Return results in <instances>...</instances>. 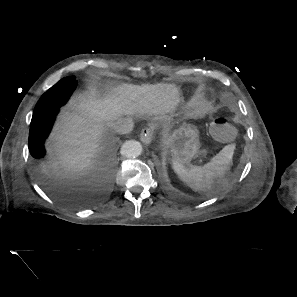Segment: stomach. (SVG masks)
I'll use <instances>...</instances> for the list:
<instances>
[{"label":"stomach","instance_id":"stomach-1","mask_svg":"<svg viewBox=\"0 0 297 297\" xmlns=\"http://www.w3.org/2000/svg\"><path fill=\"white\" fill-rule=\"evenodd\" d=\"M163 145L172 156V162L188 165L202 154L197 127L184 123L170 134H164Z\"/></svg>","mask_w":297,"mask_h":297}]
</instances>
